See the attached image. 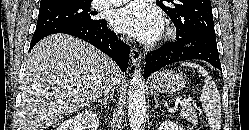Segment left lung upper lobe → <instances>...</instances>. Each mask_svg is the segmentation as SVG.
I'll return each mask as SVG.
<instances>
[{"label": "left lung upper lobe", "mask_w": 249, "mask_h": 130, "mask_svg": "<svg viewBox=\"0 0 249 130\" xmlns=\"http://www.w3.org/2000/svg\"><path fill=\"white\" fill-rule=\"evenodd\" d=\"M176 27L178 36L202 33L215 37L210 0L157 1Z\"/></svg>", "instance_id": "5c2ea615"}]
</instances>
